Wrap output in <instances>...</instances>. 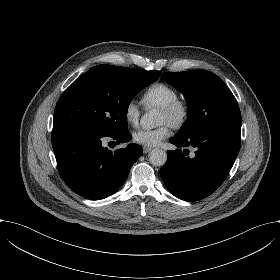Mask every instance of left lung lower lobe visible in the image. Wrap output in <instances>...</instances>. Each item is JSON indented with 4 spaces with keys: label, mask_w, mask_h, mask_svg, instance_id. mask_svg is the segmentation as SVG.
Wrapping results in <instances>:
<instances>
[{
    "label": "left lung lower lobe",
    "mask_w": 280,
    "mask_h": 280,
    "mask_svg": "<svg viewBox=\"0 0 280 280\" xmlns=\"http://www.w3.org/2000/svg\"><path fill=\"white\" fill-rule=\"evenodd\" d=\"M241 123L210 127L197 134L175 135L170 142L178 148H196L195 157L186 149L168 151L160 175L168 190L185 201H198L211 195L226 179L240 149Z\"/></svg>",
    "instance_id": "obj_1"
}]
</instances>
